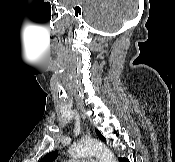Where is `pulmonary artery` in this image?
I'll return each instance as SVG.
<instances>
[{
    "label": "pulmonary artery",
    "mask_w": 175,
    "mask_h": 162,
    "mask_svg": "<svg viewBox=\"0 0 175 162\" xmlns=\"http://www.w3.org/2000/svg\"><path fill=\"white\" fill-rule=\"evenodd\" d=\"M69 162H94V160H90V159H74V160H70Z\"/></svg>",
    "instance_id": "obj_1"
}]
</instances>
